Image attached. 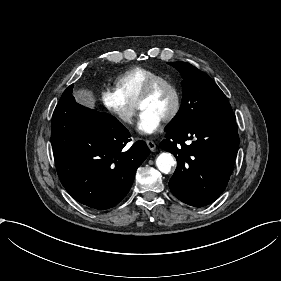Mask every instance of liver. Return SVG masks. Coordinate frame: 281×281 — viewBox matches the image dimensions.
<instances>
[{"label":"liver","mask_w":281,"mask_h":281,"mask_svg":"<svg viewBox=\"0 0 281 281\" xmlns=\"http://www.w3.org/2000/svg\"><path fill=\"white\" fill-rule=\"evenodd\" d=\"M76 103L91 110L96 109L97 101L94 93L87 88H79L73 91Z\"/></svg>","instance_id":"obj_1"}]
</instances>
